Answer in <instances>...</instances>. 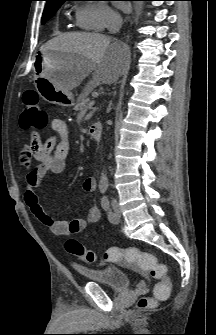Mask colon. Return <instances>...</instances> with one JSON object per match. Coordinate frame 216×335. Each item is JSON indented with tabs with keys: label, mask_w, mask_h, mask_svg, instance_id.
Segmentation results:
<instances>
[{
	"label": "colon",
	"mask_w": 216,
	"mask_h": 335,
	"mask_svg": "<svg viewBox=\"0 0 216 335\" xmlns=\"http://www.w3.org/2000/svg\"><path fill=\"white\" fill-rule=\"evenodd\" d=\"M23 111L20 118V125L25 130H41L48 121L45 110L40 105V98L36 91L27 90L22 97ZM67 252L87 263L96 261L95 253L84 247L76 239H68L65 243ZM104 261L124 263L135 266L141 272L148 273L152 278L158 280L154 287V296L157 299H166L169 297L172 283L167 274L166 265L159 263L155 255L149 252L141 251L135 247L121 249L110 247L104 254ZM154 300L149 297H142L138 301L139 308H146L153 304Z\"/></svg>",
	"instance_id": "obj_1"
}]
</instances>
